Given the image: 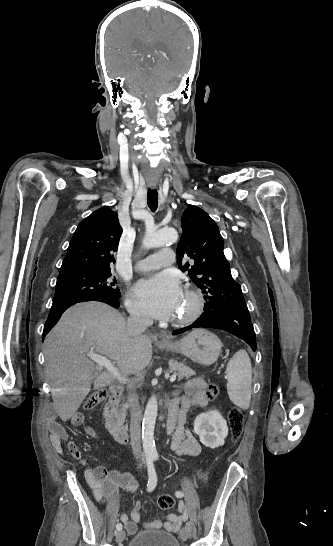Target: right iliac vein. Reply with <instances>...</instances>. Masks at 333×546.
I'll use <instances>...</instances> for the list:
<instances>
[{"label":"right iliac vein","instance_id":"right-iliac-vein-1","mask_svg":"<svg viewBox=\"0 0 333 546\" xmlns=\"http://www.w3.org/2000/svg\"><path fill=\"white\" fill-rule=\"evenodd\" d=\"M125 538V531L124 530H119L118 532H116V541L117 542H122Z\"/></svg>","mask_w":333,"mask_h":546}]
</instances>
